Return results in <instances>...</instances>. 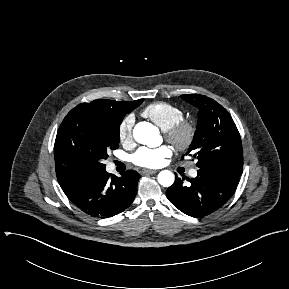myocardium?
I'll list each match as a JSON object with an SVG mask.
<instances>
[{"label": "myocardium", "mask_w": 289, "mask_h": 289, "mask_svg": "<svg viewBox=\"0 0 289 289\" xmlns=\"http://www.w3.org/2000/svg\"><path fill=\"white\" fill-rule=\"evenodd\" d=\"M196 135V125L190 119H181L170 129L165 131V136L178 150H187L193 143Z\"/></svg>", "instance_id": "myocardium-1"}]
</instances>
